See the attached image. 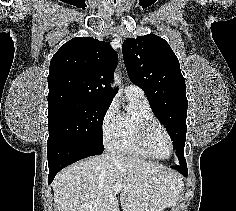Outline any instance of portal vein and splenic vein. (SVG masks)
<instances>
[{"label":"portal vein and splenic vein","instance_id":"1","mask_svg":"<svg viewBox=\"0 0 236 211\" xmlns=\"http://www.w3.org/2000/svg\"><path fill=\"white\" fill-rule=\"evenodd\" d=\"M123 188V185L122 184H115L114 185V189L119 192L121 189Z\"/></svg>","mask_w":236,"mask_h":211}]
</instances>
